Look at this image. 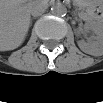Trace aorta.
<instances>
[{
    "label": "aorta",
    "instance_id": "aorta-1",
    "mask_svg": "<svg viewBox=\"0 0 103 103\" xmlns=\"http://www.w3.org/2000/svg\"><path fill=\"white\" fill-rule=\"evenodd\" d=\"M51 12L56 16H64L67 13V7L63 3L57 2L52 5Z\"/></svg>",
    "mask_w": 103,
    "mask_h": 103
}]
</instances>
